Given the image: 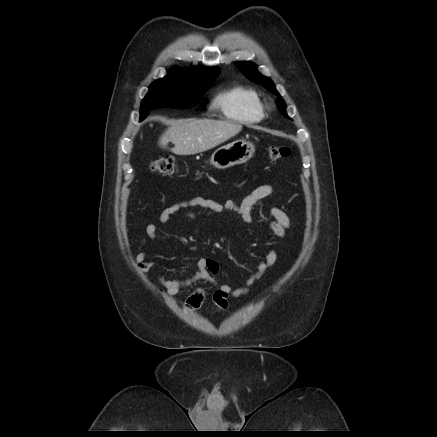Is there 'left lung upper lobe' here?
<instances>
[{
  "instance_id": "obj_1",
  "label": "left lung upper lobe",
  "mask_w": 437,
  "mask_h": 437,
  "mask_svg": "<svg viewBox=\"0 0 437 437\" xmlns=\"http://www.w3.org/2000/svg\"><path fill=\"white\" fill-rule=\"evenodd\" d=\"M237 67L243 71V73L245 74V76L247 78H249L251 81L258 83L262 86H265L268 90H270L272 93H274L275 95L279 96L277 99V106L280 110V112L286 117L289 118L286 114L285 108L286 105L283 101V99L280 97L279 93L276 91L274 84L272 83V81L265 77L262 76L261 74H259L256 71V66L253 63H240L237 64Z\"/></svg>"
}]
</instances>
